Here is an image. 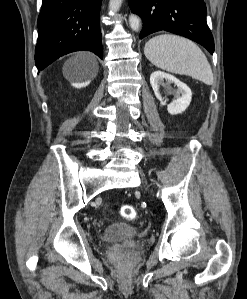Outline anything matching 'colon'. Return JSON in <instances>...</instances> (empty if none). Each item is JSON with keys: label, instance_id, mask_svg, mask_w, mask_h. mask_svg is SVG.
Instances as JSON below:
<instances>
[{"label": "colon", "instance_id": "colon-1", "mask_svg": "<svg viewBox=\"0 0 247 299\" xmlns=\"http://www.w3.org/2000/svg\"><path fill=\"white\" fill-rule=\"evenodd\" d=\"M121 215L125 219L133 220L136 217V209L132 205H124L121 208Z\"/></svg>", "mask_w": 247, "mask_h": 299}]
</instances>
